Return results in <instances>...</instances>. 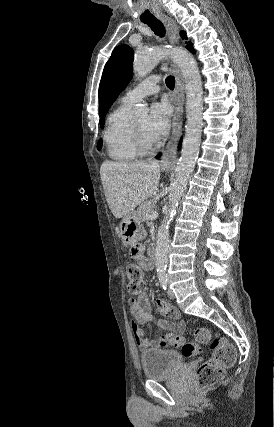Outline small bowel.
Masks as SVG:
<instances>
[{
  "instance_id": "small-bowel-1",
  "label": "small bowel",
  "mask_w": 274,
  "mask_h": 427,
  "mask_svg": "<svg viewBox=\"0 0 274 427\" xmlns=\"http://www.w3.org/2000/svg\"><path fill=\"white\" fill-rule=\"evenodd\" d=\"M137 249V260L139 265L146 271H150L153 268L152 262H150L144 255V247L138 246ZM170 300L169 299H153L152 307L157 308L158 313H169L170 312ZM129 311L131 314L130 327L134 339L137 343V346L141 351L146 352L151 349H157L160 347H165L170 344V339L175 337V335H181L186 330V325L184 322H180L177 326L174 325L172 320L168 319H156L150 311V304L146 294H141L136 299H134L129 306ZM175 319L179 318V313ZM155 323L159 327L171 331L170 334L150 340L146 337L142 325Z\"/></svg>"
}]
</instances>
